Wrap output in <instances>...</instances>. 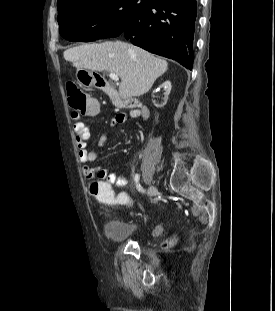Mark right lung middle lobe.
<instances>
[{"instance_id": "1", "label": "right lung middle lobe", "mask_w": 275, "mask_h": 311, "mask_svg": "<svg viewBox=\"0 0 275 311\" xmlns=\"http://www.w3.org/2000/svg\"><path fill=\"white\" fill-rule=\"evenodd\" d=\"M155 0H71L58 8L61 36L70 41L120 35L129 22Z\"/></svg>"}]
</instances>
